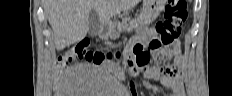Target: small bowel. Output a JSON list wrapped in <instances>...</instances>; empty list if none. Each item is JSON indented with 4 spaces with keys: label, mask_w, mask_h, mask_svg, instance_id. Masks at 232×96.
I'll use <instances>...</instances> for the list:
<instances>
[{
    "label": "small bowel",
    "mask_w": 232,
    "mask_h": 96,
    "mask_svg": "<svg viewBox=\"0 0 232 96\" xmlns=\"http://www.w3.org/2000/svg\"><path fill=\"white\" fill-rule=\"evenodd\" d=\"M153 35V30L150 28H140L137 34L129 42V50L131 52L135 45H141L143 47L148 46L149 41ZM175 60L173 65L166 67L161 72L154 71L153 68L147 69L143 76L148 79L158 80L162 85L171 90L172 96H184V84L181 69L183 67V56L180 51V43L176 41L174 43ZM132 93L130 96H141L140 93H136V83L131 81Z\"/></svg>",
    "instance_id": "small-bowel-1"
}]
</instances>
